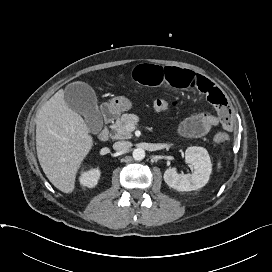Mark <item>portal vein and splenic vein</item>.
Listing matches in <instances>:
<instances>
[{"mask_svg":"<svg viewBox=\"0 0 272 272\" xmlns=\"http://www.w3.org/2000/svg\"><path fill=\"white\" fill-rule=\"evenodd\" d=\"M128 128H131V129H133L132 125H128Z\"/></svg>","mask_w":272,"mask_h":272,"instance_id":"obj_1","label":"portal vein and splenic vein"}]
</instances>
